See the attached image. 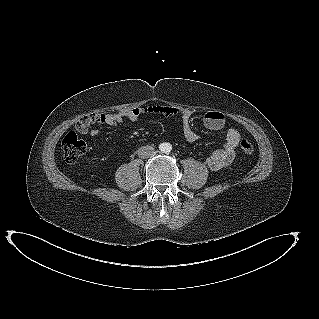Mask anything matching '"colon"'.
Masks as SVG:
<instances>
[{
  "instance_id": "obj_1",
  "label": "colon",
  "mask_w": 319,
  "mask_h": 319,
  "mask_svg": "<svg viewBox=\"0 0 319 319\" xmlns=\"http://www.w3.org/2000/svg\"><path fill=\"white\" fill-rule=\"evenodd\" d=\"M89 120L90 118L85 116L80 121L88 123ZM87 148V141L79 137L75 132L67 133L62 140L64 159L70 163L77 161L81 156H83L86 153ZM240 149L244 153L250 154L253 151V144L249 140L243 139L240 142Z\"/></svg>"
}]
</instances>
